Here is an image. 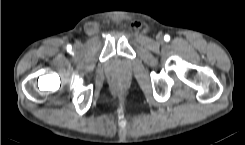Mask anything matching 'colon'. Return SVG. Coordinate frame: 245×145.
<instances>
[{
  "instance_id": "1",
  "label": "colon",
  "mask_w": 245,
  "mask_h": 145,
  "mask_svg": "<svg viewBox=\"0 0 245 145\" xmlns=\"http://www.w3.org/2000/svg\"><path fill=\"white\" fill-rule=\"evenodd\" d=\"M111 89L114 93H121L125 89V83L121 80H115L111 84Z\"/></svg>"
}]
</instances>
